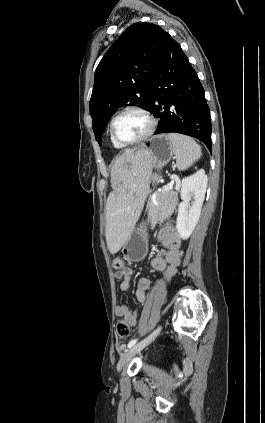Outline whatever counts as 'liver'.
<instances>
[{"instance_id": "6515ba94", "label": "liver", "mask_w": 265, "mask_h": 423, "mask_svg": "<svg viewBox=\"0 0 265 423\" xmlns=\"http://www.w3.org/2000/svg\"><path fill=\"white\" fill-rule=\"evenodd\" d=\"M152 157L140 149H127L111 170V192L106 204V242L117 253L135 227L149 193Z\"/></svg>"}]
</instances>
